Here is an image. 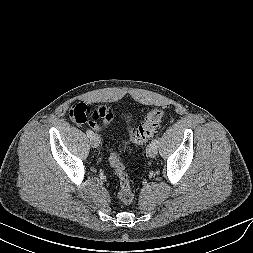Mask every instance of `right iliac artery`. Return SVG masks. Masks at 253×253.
Returning <instances> with one entry per match:
<instances>
[{"label":"right iliac artery","mask_w":253,"mask_h":253,"mask_svg":"<svg viewBox=\"0 0 253 253\" xmlns=\"http://www.w3.org/2000/svg\"><path fill=\"white\" fill-rule=\"evenodd\" d=\"M86 134L88 137H92L94 135V133L91 130H87Z\"/></svg>","instance_id":"obj_1"}]
</instances>
